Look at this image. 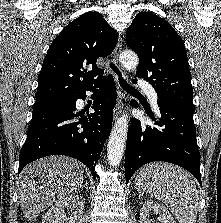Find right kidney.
I'll return each mask as SVG.
<instances>
[{"label":"right kidney","instance_id":"right-kidney-1","mask_svg":"<svg viewBox=\"0 0 221 223\" xmlns=\"http://www.w3.org/2000/svg\"><path fill=\"white\" fill-rule=\"evenodd\" d=\"M65 209L73 211L67 217ZM84 201L81 195L74 194L57 201L45 213L42 223H82Z\"/></svg>","mask_w":221,"mask_h":223}]
</instances>
